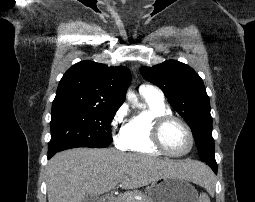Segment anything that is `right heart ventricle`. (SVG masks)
Listing matches in <instances>:
<instances>
[{
  "label": "right heart ventricle",
  "mask_w": 255,
  "mask_h": 202,
  "mask_svg": "<svg viewBox=\"0 0 255 202\" xmlns=\"http://www.w3.org/2000/svg\"><path fill=\"white\" fill-rule=\"evenodd\" d=\"M146 108L133 115L124 128V148L133 152L151 155L162 154L151 141V128L154 120L162 115L171 114L164 101L143 97Z\"/></svg>",
  "instance_id": "1"
}]
</instances>
